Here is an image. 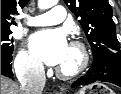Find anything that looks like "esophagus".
<instances>
[{
    "mask_svg": "<svg viewBox=\"0 0 121 94\" xmlns=\"http://www.w3.org/2000/svg\"><path fill=\"white\" fill-rule=\"evenodd\" d=\"M56 94H62V92L61 91H56Z\"/></svg>",
    "mask_w": 121,
    "mask_h": 94,
    "instance_id": "34e87169",
    "label": "esophagus"
}]
</instances>
